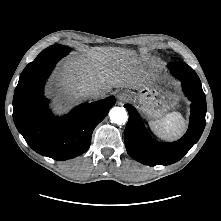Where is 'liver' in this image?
Wrapping results in <instances>:
<instances>
[{
	"label": "liver",
	"instance_id": "6515ba94",
	"mask_svg": "<svg viewBox=\"0 0 221 221\" xmlns=\"http://www.w3.org/2000/svg\"><path fill=\"white\" fill-rule=\"evenodd\" d=\"M56 81L63 89L61 100L73 103L84 98L82 90L87 87L99 88L104 97L113 88L141 89L151 79L138 68L133 51L94 47L85 57L66 60Z\"/></svg>",
	"mask_w": 221,
	"mask_h": 221
}]
</instances>
